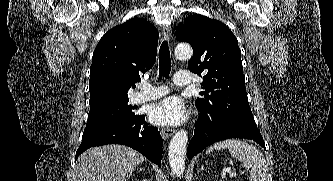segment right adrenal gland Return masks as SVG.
I'll list each match as a JSON object with an SVG mask.
<instances>
[{"label": "right adrenal gland", "mask_w": 333, "mask_h": 181, "mask_svg": "<svg viewBox=\"0 0 333 181\" xmlns=\"http://www.w3.org/2000/svg\"><path fill=\"white\" fill-rule=\"evenodd\" d=\"M142 170H144V169H143V168H140V169H139V171H142Z\"/></svg>", "instance_id": "2a0ac1e0"}]
</instances>
